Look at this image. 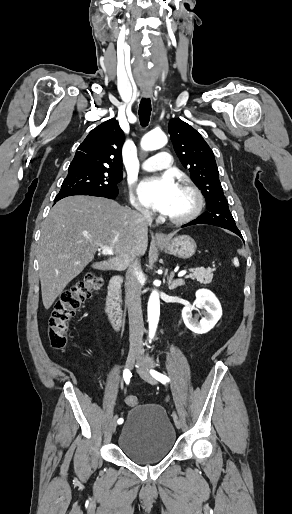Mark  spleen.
I'll use <instances>...</instances> for the list:
<instances>
[{
	"mask_svg": "<svg viewBox=\"0 0 292 514\" xmlns=\"http://www.w3.org/2000/svg\"><path fill=\"white\" fill-rule=\"evenodd\" d=\"M233 264H234V266H236V268H238V266H239V260H237V258H234V260H233Z\"/></svg>",
	"mask_w": 292,
	"mask_h": 514,
	"instance_id": "spleen-1",
	"label": "spleen"
}]
</instances>
